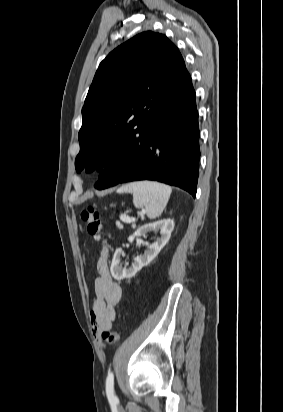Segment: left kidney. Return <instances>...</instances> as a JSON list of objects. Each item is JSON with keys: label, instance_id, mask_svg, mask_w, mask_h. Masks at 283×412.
Wrapping results in <instances>:
<instances>
[{"label": "left kidney", "instance_id": "1", "mask_svg": "<svg viewBox=\"0 0 283 412\" xmlns=\"http://www.w3.org/2000/svg\"><path fill=\"white\" fill-rule=\"evenodd\" d=\"M173 229L174 221L171 219L160 220L138 228L133 235H130L128 237L129 242H132L135 237L144 236L150 231H160L161 238H159L155 243L151 244L148 250L142 256H137L134 260V263L129 268H125L120 265V257L123 251L121 248H118L114 253L110 267L113 278L116 280L131 278L144 266H147L156 258L159 252L167 244Z\"/></svg>", "mask_w": 283, "mask_h": 412}]
</instances>
